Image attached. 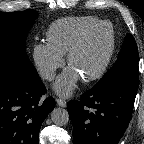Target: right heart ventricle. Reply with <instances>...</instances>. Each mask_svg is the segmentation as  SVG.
Here are the masks:
<instances>
[{
    "mask_svg": "<svg viewBox=\"0 0 144 144\" xmlns=\"http://www.w3.org/2000/svg\"><path fill=\"white\" fill-rule=\"evenodd\" d=\"M100 20L93 16L66 17L53 22L47 30L48 44L61 55L68 52L74 40Z\"/></svg>",
    "mask_w": 144,
    "mask_h": 144,
    "instance_id": "e07e8e85",
    "label": "right heart ventricle"
}]
</instances>
